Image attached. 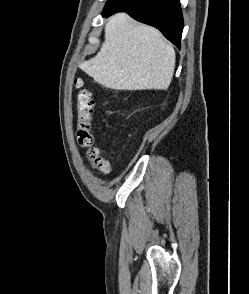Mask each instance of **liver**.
I'll use <instances>...</instances> for the list:
<instances>
[{"label":"liver","instance_id":"liver-1","mask_svg":"<svg viewBox=\"0 0 249 294\" xmlns=\"http://www.w3.org/2000/svg\"><path fill=\"white\" fill-rule=\"evenodd\" d=\"M175 50L155 28L118 13L105 25L98 54L80 68L104 87L115 90H165L175 69Z\"/></svg>","mask_w":249,"mask_h":294}]
</instances>
